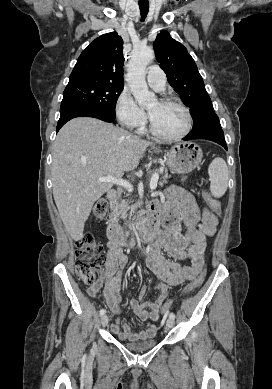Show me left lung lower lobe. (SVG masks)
Masks as SVG:
<instances>
[{
  "instance_id": "1",
  "label": "left lung lower lobe",
  "mask_w": 272,
  "mask_h": 389,
  "mask_svg": "<svg viewBox=\"0 0 272 389\" xmlns=\"http://www.w3.org/2000/svg\"><path fill=\"white\" fill-rule=\"evenodd\" d=\"M193 139L211 140L220 144L227 150L224 133L216 114L203 122L201 125L193 128L183 140L187 141Z\"/></svg>"
}]
</instances>
